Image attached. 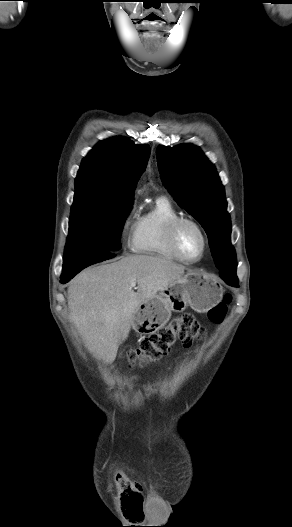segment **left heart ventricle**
I'll return each instance as SVG.
<instances>
[{"label":"left heart ventricle","instance_id":"left-heart-ventricle-1","mask_svg":"<svg viewBox=\"0 0 292 527\" xmlns=\"http://www.w3.org/2000/svg\"><path fill=\"white\" fill-rule=\"evenodd\" d=\"M177 242L181 253L185 257L196 259L200 256L203 240L200 232L193 225L184 224L180 227Z\"/></svg>","mask_w":292,"mask_h":527}]
</instances>
